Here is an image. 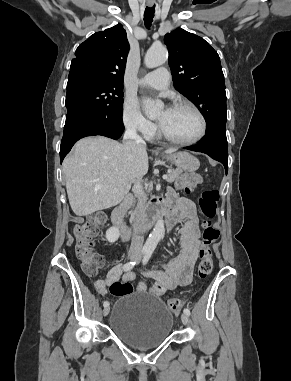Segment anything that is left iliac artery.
Instances as JSON below:
<instances>
[{
    "label": "left iliac artery",
    "instance_id": "44dca946",
    "mask_svg": "<svg viewBox=\"0 0 291 381\" xmlns=\"http://www.w3.org/2000/svg\"><path fill=\"white\" fill-rule=\"evenodd\" d=\"M153 253V250H148L146 251V254L143 258V264H147V262L149 261L151 255ZM185 314H187L188 316L190 315V310L188 308H185L184 311H183Z\"/></svg>",
    "mask_w": 291,
    "mask_h": 381
}]
</instances>
